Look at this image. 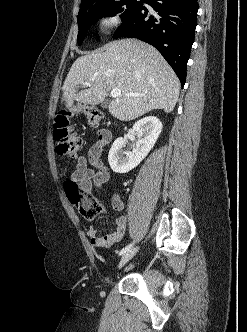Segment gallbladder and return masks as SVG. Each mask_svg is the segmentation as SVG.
<instances>
[{
	"instance_id": "bac80fb5",
	"label": "gallbladder",
	"mask_w": 247,
	"mask_h": 332,
	"mask_svg": "<svg viewBox=\"0 0 247 332\" xmlns=\"http://www.w3.org/2000/svg\"><path fill=\"white\" fill-rule=\"evenodd\" d=\"M107 105H108V103H107V102H103L101 106H102L103 108H106V107H107Z\"/></svg>"
}]
</instances>
